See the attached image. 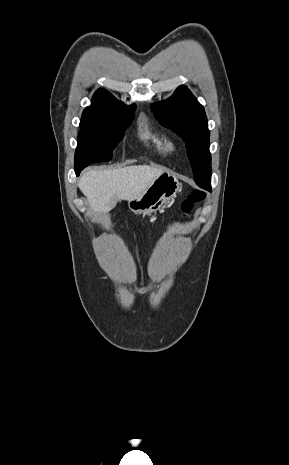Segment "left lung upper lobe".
Instances as JSON below:
<instances>
[{"instance_id":"obj_1","label":"left lung upper lobe","mask_w":289,"mask_h":465,"mask_svg":"<svg viewBox=\"0 0 289 465\" xmlns=\"http://www.w3.org/2000/svg\"><path fill=\"white\" fill-rule=\"evenodd\" d=\"M151 108L162 125L183 138L196 184L210 191V133L204 107L186 86H179L169 99Z\"/></svg>"}]
</instances>
